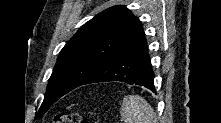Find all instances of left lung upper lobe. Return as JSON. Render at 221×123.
<instances>
[{"instance_id":"left-lung-upper-lobe-1","label":"left lung upper lobe","mask_w":221,"mask_h":123,"mask_svg":"<svg viewBox=\"0 0 221 123\" xmlns=\"http://www.w3.org/2000/svg\"><path fill=\"white\" fill-rule=\"evenodd\" d=\"M143 38L141 22L125 6L108 8L85 23L59 53L37 116Z\"/></svg>"}]
</instances>
